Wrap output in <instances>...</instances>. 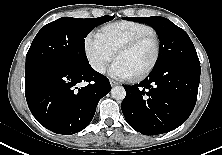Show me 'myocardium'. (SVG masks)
I'll return each instance as SVG.
<instances>
[{"mask_svg":"<svg viewBox=\"0 0 222 155\" xmlns=\"http://www.w3.org/2000/svg\"><path fill=\"white\" fill-rule=\"evenodd\" d=\"M150 37L154 38L155 43H156L155 57H154L152 63L144 71H142L141 73H139L137 75L132 76V78L134 80H142V79L146 78L156 68V66L160 60L161 48H162L161 47V40H160L158 33L156 31H154V32L141 34V35L135 37L134 39L130 40L129 42L120 46L116 51V58H118V56L120 54L134 49L140 43H142L143 41H145L146 39H148Z\"/></svg>","mask_w":222,"mask_h":155,"instance_id":"f54148a6","label":"myocardium"}]
</instances>
